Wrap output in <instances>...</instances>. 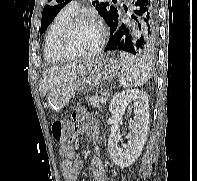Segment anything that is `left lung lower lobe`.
<instances>
[{"label":"left lung lower lobe","mask_w":197,"mask_h":181,"mask_svg":"<svg viewBox=\"0 0 197 181\" xmlns=\"http://www.w3.org/2000/svg\"><path fill=\"white\" fill-rule=\"evenodd\" d=\"M158 0H133L135 7L131 24L111 21V36L105 51L128 52L141 57H152L158 40Z\"/></svg>","instance_id":"0a47b994"}]
</instances>
